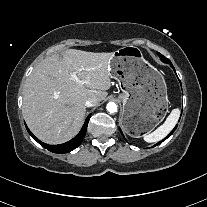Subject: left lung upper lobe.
<instances>
[{
    "label": "left lung upper lobe",
    "instance_id": "obj_1",
    "mask_svg": "<svg viewBox=\"0 0 207 207\" xmlns=\"http://www.w3.org/2000/svg\"><path fill=\"white\" fill-rule=\"evenodd\" d=\"M159 56L161 57V60H162V59H166L165 57H163V56H162V55H160V54H159Z\"/></svg>",
    "mask_w": 207,
    "mask_h": 207
}]
</instances>
